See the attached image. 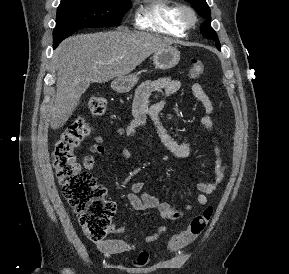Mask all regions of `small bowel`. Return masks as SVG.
<instances>
[{
  "instance_id": "obj_1",
  "label": "small bowel",
  "mask_w": 289,
  "mask_h": 274,
  "mask_svg": "<svg viewBox=\"0 0 289 274\" xmlns=\"http://www.w3.org/2000/svg\"><path fill=\"white\" fill-rule=\"evenodd\" d=\"M181 88V82L172 78L164 77L153 81L143 83L135 96L133 102L134 120L127 128H118L116 133L118 136L130 138L135 129L147 121H150L154 127L156 135L163 148L176 158L189 157L194 152V144L190 142H178L173 139L163 126L160 114L164 108L165 100L170 95L176 93ZM192 94L201 103L204 109V115L201 118V124L205 130L211 135L212 151H213V171L210 180L202 181L197 184L198 194L193 204L186 205L179 209L173 207L170 203L161 201L156 196L145 190L143 182H135L126 197L136 211L144 212L150 209H156L160 217L165 221H175L184 216L192 206H204L208 202V196L212 194L224 179L227 162L223 157V149L217 137L221 136V132L216 128L213 118V104L208 94L199 83H194L191 87ZM159 95V98L152 102ZM103 137L98 135L95 137V143L89 148V155L85 156L83 165L85 169L94 168L96 158L94 155H105L106 149L103 146ZM125 157L130 156L128 149L123 150ZM201 166L205 167L206 163L201 161ZM167 230L166 225L160 226L155 232L144 237V242L153 243ZM111 232L114 234H123L126 232L123 227H113ZM97 250L106 256L123 254L131 252L137 248V245L120 238H109L97 242Z\"/></svg>"
}]
</instances>
